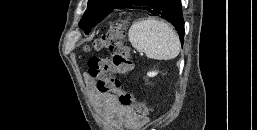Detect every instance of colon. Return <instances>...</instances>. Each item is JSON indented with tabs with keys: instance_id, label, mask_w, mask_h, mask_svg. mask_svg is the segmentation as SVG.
Instances as JSON below:
<instances>
[{
	"instance_id": "colon-1",
	"label": "colon",
	"mask_w": 257,
	"mask_h": 130,
	"mask_svg": "<svg viewBox=\"0 0 257 130\" xmlns=\"http://www.w3.org/2000/svg\"><path fill=\"white\" fill-rule=\"evenodd\" d=\"M126 26L125 19H118L107 32L86 47L92 51H101L104 48L112 50L109 57H91L88 61V74L95 80L100 93L116 94L121 105L132 108L138 115L147 118L150 114L147 104L137 100L131 92L125 90L116 76L128 73L134 68L128 48L124 44Z\"/></svg>"
}]
</instances>
